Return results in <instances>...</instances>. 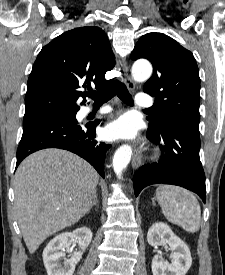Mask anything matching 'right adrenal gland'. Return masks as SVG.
Instances as JSON below:
<instances>
[{
    "label": "right adrenal gland",
    "instance_id": "right-adrenal-gland-1",
    "mask_svg": "<svg viewBox=\"0 0 225 275\" xmlns=\"http://www.w3.org/2000/svg\"><path fill=\"white\" fill-rule=\"evenodd\" d=\"M97 204H98V195H97V190H96L95 193H94L93 199H92V203H91V205L88 209V212H90L91 208L93 206H96Z\"/></svg>",
    "mask_w": 225,
    "mask_h": 275
}]
</instances>
